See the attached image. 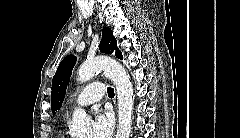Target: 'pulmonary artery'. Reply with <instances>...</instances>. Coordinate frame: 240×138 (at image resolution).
<instances>
[{
  "label": "pulmonary artery",
  "instance_id": "e3ab8cb5",
  "mask_svg": "<svg viewBox=\"0 0 240 138\" xmlns=\"http://www.w3.org/2000/svg\"><path fill=\"white\" fill-rule=\"evenodd\" d=\"M104 95V87L100 82H93L86 86L76 97L73 107H85L101 100Z\"/></svg>",
  "mask_w": 240,
  "mask_h": 138
}]
</instances>
